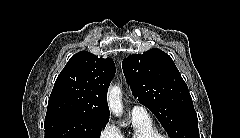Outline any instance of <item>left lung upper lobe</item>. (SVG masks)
<instances>
[{
    "mask_svg": "<svg viewBox=\"0 0 240 138\" xmlns=\"http://www.w3.org/2000/svg\"><path fill=\"white\" fill-rule=\"evenodd\" d=\"M132 94L160 121L170 138H199L192 98L171 57L158 48L122 62Z\"/></svg>",
    "mask_w": 240,
    "mask_h": 138,
    "instance_id": "obj_1",
    "label": "left lung upper lobe"
}]
</instances>
